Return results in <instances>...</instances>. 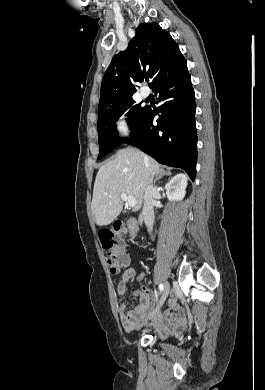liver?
<instances>
[{
	"label": "liver",
	"mask_w": 265,
	"mask_h": 390,
	"mask_svg": "<svg viewBox=\"0 0 265 390\" xmlns=\"http://www.w3.org/2000/svg\"><path fill=\"white\" fill-rule=\"evenodd\" d=\"M160 170L158 162L135 148L119 150L96 175L92 198L95 223L106 226L117 218L123 209L121 193L135 197L137 204L132 211H138L148 180L159 176Z\"/></svg>",
	"instance_id": "1"
}]
</instances>
